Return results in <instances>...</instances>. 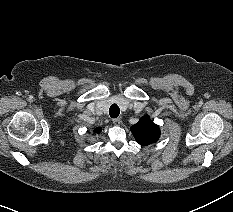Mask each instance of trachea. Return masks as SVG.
Returning a JSON list of instances; mask_svg holds the SVG:
<instances>
[{"label":"trachea","instance_id":"3493384b","mask_svg":"<svg viewBox=\"0 0 233 212\" xmlns=\"http://www.w3.org/2000/svg\"><path fill=\"white\" fill-rule=\"evenodd\" d=\"M120 114V109L117 104H112L110 109H109V115L112 118L118 117Z\"/></svg>","mask_w":233,"mask_h":212}]
</instances>
